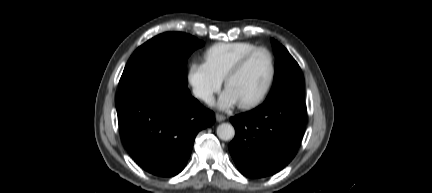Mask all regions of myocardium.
<instances>
[{"instance_id": "1", "label": "myocardium", "mask_w": 432, "mask_h": 193, "mask_svg": "<svg viewBox=\"0 0 432 193\" xmlns=\"http://www.w3.org/2000/svg\"><path fill=\"white\" fill-rule=\"evenodd\" d=\"M258 52H265L269 56V59H270L269 79H268V82H267L264 90L256 98H254L250 101H247V102L239 103V107L241 109L254 108V107L258 106L259 104H261L269 95V93L273 87L275 77H276V60H275L274 53L271 51V49H269L266 46L255 47L254 49L249 51L247 54H245L239 61H237L232 66V68L228 71V73L224 79L225 88L228 89V86H229L231 80L245 67V65L249 62V60Z\"/></svg>"}]
</instances>
